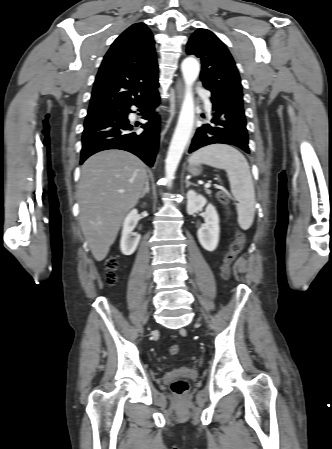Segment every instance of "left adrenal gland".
<instances>
[{
  "label": "left adrenal gland",
  "instance_id": "a2214340",
  "mask_svg": "<svg viewBox=\"0 0 332 449\" xmlns=\"http://www.w3.org/2000/svg\"><path fill=\"white\" fill-rule=\"evenodd\" d=\"M185 183H186V188H188L190 185H194L195 186V184L194 183H192V182H190L189 180H185Z\"/></svg>",
  "mask_w": 332,
  "mask_h": 449
}]
</instances>
